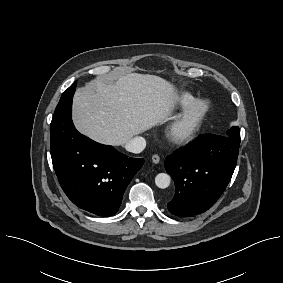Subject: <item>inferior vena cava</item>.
Segmentation results:
<instances>
[{"mask_svg": "<svg viewBox=\"0 0 283 283\" xmlns=\"http://www.w3.org/2000/svg\"><path fill=\"white\" fill-rule=\"evenodd\" d=\"M145 147L146 140L141 136L134 137L125 144L126 150L132 153H140Z\"/></svg>", "mask_w": 283, "mask_h": 283, "instance_id": "obj_1", "label": "inferior vena cava"}]
</instances>
